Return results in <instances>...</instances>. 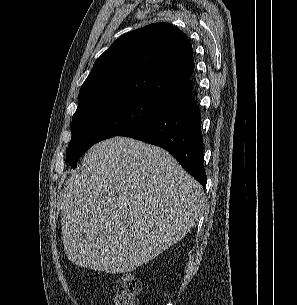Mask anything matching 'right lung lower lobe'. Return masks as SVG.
Returning <instances> with one entry per match:
<instances>
[{
	"label": "right lung lower lobe",
	"instance_id": "98d812e1",
	"mask_svg": "<svg viewBox=\"0 0 297 305\" xmlns=\"http://www.w3.org/2000/svg\"><path fill=\"white\" fill-rule=\"evenodd\" d=\"M169 151L183 168L206 187L201 115L192 94L171 103L145 123L122 133Z\"/></svg>",
	"mask_w": 297,
	"mask_h": 305
}]
</instances>
